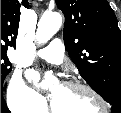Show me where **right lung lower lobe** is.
Instances as JSON below:
<instances>
[{
    "mask_svg": "<svg viewBox=\"0 0 121 113\" xmlns=\"http://www.w3.org/2000/svg\"><path fill=\"white\" fill-rule=\"evenodd\" d=\"M1 113H10L9 109L6 106L4 97H1Z\"/></svg>",
    "mask_w": 121,
    "mask_h": 113,
    "instance_id": "98d812e1",
    "label": "right lung lower lobe"
}]
</instances>
